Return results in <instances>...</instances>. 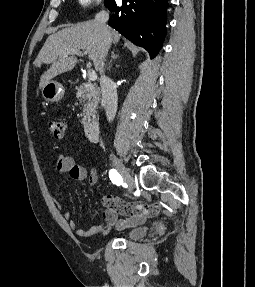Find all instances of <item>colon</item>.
<instances>
[{
  "mask_svg": "<svg viewBox=\"0 0 255 287\" xmlns=\"http://www.w3.org/2000/svg\"><path fill=\"white\" fill-rule=\"evenodd\" d=\"M48 128L55 138H61L64 134L65 125L60 120H50Z\"/></svg>",
  "mask_w": 255,
  "mask_h": 287,
  "instance_id": "1",
  "label": "colon"
}]
</instances>
